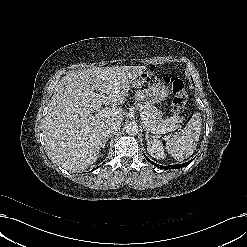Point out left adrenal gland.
Listing matches in <instances>:
<instances>
[{
	"mask_svg": "<svg viewBox=\"0 0 247 247\" xmlns=\"http://www.w3.org/2000/svg\"><path fill=\"white\" fill-rule=\"evenodd\" d=\"M143 128H144V131H145V139L148 140L149 135H150L149 129L145 125H143Z\"/></svg>",
	"mask_w": 247,
	"mask_h": 247,
	"instance_id": "a2214340",
	"label": "left adrenal gland"
}]
</instances>
